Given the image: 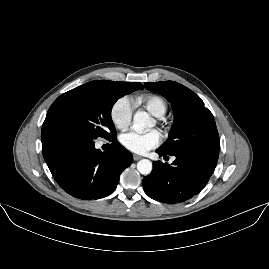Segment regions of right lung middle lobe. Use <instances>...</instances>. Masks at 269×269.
<instances>
[{
    "label": "right lung middle lobe",
    "mask_w": 269,
    "mask_h": 269,
    "mask_svg": "<svg viewBox=\"0 0 269 269\" xmlns=\"http://www.w3.org/2000/svg\"><path fill=\"white\" fill-rule=\"evenodd\" d=\"M122 93L84 84L59 96L48 110L46 119L65 122L89 139L116 140L111 109Z\"/></svg>",
    "instance_id": "obj_1"
}]
</instances>
